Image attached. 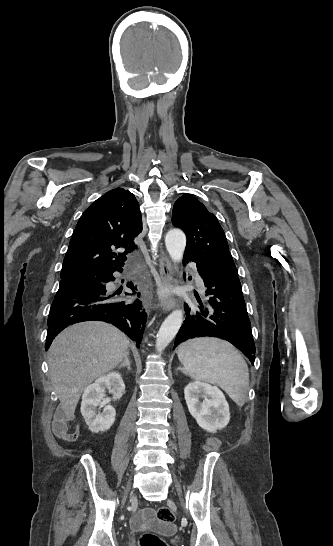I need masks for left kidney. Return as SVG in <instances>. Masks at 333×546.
I'll list each match as a JSON object with an SVG mask.
<instances>
[{"instance_id":"obj_1","label":"left kidney","mask_w":333,"mask_h":546,"mask_svg":"<svg viewBox=\"0 0 333 546\" xmlns=\"http://www.w3.org/2000/svg\"><path fill=\"white\" fill-rule=\"evenodd\" d=\"M184 394L188 410L201 428L214 433L229 423V405L218 387L191 382L185 387Z\"/></svg>"}]
</instances>
